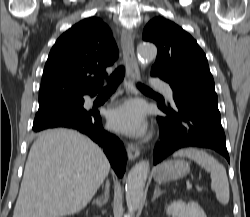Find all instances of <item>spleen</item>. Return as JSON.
Here are the masks:
<instances>
[{
    "instance_id": "1",
    "label": "spleen",
    "mask_w": 250,
    "mask_h": 217,
    "mask_svg": "<svg viewBox=\"0 0 250 217\" xmlns=\"http://www.w3.org/2000/svg\"><path fill=\"white\" fill-rule=\"evenodd\" d=\"M174 157H188L198 163L211 174V188L216 193L217 200L227 205L229 202V182L225 167L204 150L196 148L181 149Z\"/></svg>"
}]
</instances>
